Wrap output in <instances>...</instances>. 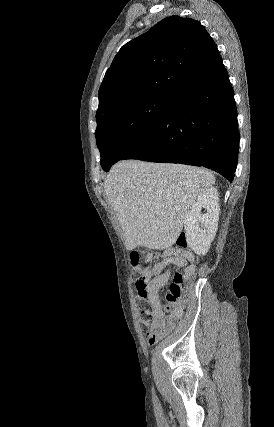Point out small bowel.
Masks as SVG:
<instances>
[{
  "label": "small bowel",
  "instance_id": "obj_1",
  "mask_svg": "<svg viewBox=\"0 0 274 427\" xmlns=\"http://www.w3.org/2000/svg\"><path fill=\"white\" fill-rule=\"evenodd\" d=\"M195 254L192 251L180 248H170L162 253V259L153 267H146L140 274L145 282L149 300L153 304V319L148 333V342L154 344L167 336L175 327L184 313L181 301L173 303L164 310L159 298V289L165 286L170 279L169 265L184 268L185 277H193L196 272Z\"/></svg>",
  "mask_w": 274,
  "mask_h": 427
}]
</instances>
